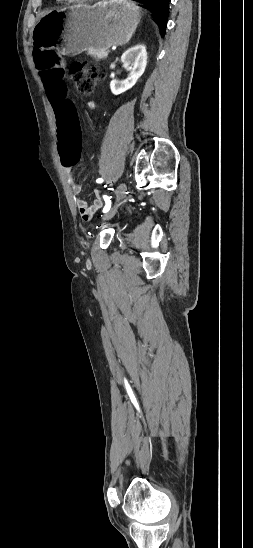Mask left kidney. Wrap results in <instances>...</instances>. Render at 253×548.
Wrapping results in <instances>:
<instances>
[{"label":"left kidney","instance_id":"obj_1","mask_svg":"<svg viewBox=\"0 0 253 548\" xmlns=\"http://www.w3.org/2000/svg\"><path fill=\"white\" fill-rule=\"evenodd\" d=\"M121 61L124 66L131 69L130 75L123 81L112 80L110 89L114 95H119L131 89L137 80L143 75L147 66V51L143 44L135 45L128 49L121 56Z\"/></svg>","mask_w":253,"mask_h":548}]
</instances>
